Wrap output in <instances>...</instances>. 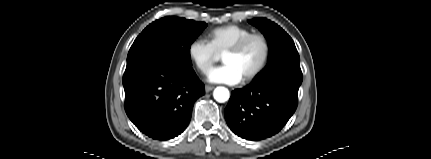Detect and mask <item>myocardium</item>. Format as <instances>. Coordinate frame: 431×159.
<instances>
[{
	"mask_svg": "<svg viewBox=\"0 0 431 159\" xmlns=\"http://www.w3.org/2000/svg\"><path fill=\"white\" fill-rule=\"evenodd\" d=\"M254 40H260L262 42L263 48H264L263 57L260 64L257 66V68L242 79L243 82H251L255 80L257 77H259L262 74V72L267 67L270 59V54H271V46L268 38L262 33H252L244 37L243 39H241L239 42H237L234 46L229 48L223 54V56L238 55L242 53L247 48V46Z\"/></svg>",
	"mask_w": 431,
	"mask_h": 159,
	"instance_id": "obj_1",
	"label": "myocardium"
}]
</instances>
